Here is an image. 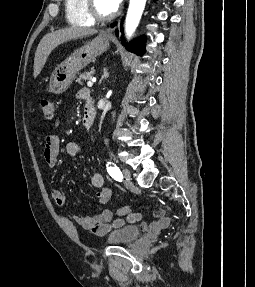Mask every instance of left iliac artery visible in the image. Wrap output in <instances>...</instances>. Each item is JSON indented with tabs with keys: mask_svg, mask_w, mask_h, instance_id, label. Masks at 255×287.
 I'll use <instances>...</instances> for the list:
<instances>
[{
	"mask_svg": "<svg viewBox=\"0 0 255 287\" xmlns=\"http://www.w3.org/2000/svg\"><path fill=\"white\" fill-rule=\"evenodd\" d=\"M107 171L116 181H122L123 175L117 165L112 162H107Z\"/></svg>",
	"mask_w": 255,
	"mask_h": 287,
	"instance_id": "1",
	"label": "left iliac artery"
}]
</instances>
